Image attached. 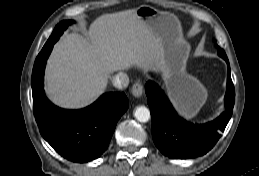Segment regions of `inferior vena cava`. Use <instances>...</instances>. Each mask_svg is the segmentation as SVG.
Listing matches in <instances>:
<instances>
[{
	"label": "inferior vena cava",
	"instance_id": "1",
	"mask_svg": "<svg viewBox=\"0 0 259 176\" xmlns=\"http://www.w3.org/2000/svg\"><path fill=\"white\" fill-rule=\"evenodd\" d=\"M114 87L118 89H125L129 84V77L127 74L120 72L111 78Z\"/></svg>",
	"mask_w": 259,
	"mask_h": 176
}]
</instances>
